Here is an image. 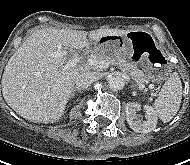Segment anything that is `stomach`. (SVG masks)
<instances>
[{
	"label": "stomach",
	"instance_id": "obj_1",
	"mask_svg": "<svg viewBox=\"0 0 190 165\" xmlns=\"http://www.w3.org/2000/svg\"><path fill=\"white\" fill-rule=\"evenodd\" d=\"M93 50L110 57L130 58L131 67L145 72L148 80L161 81L170 72V59L158 51L152 36L147 32L125 31L120 36L104 35L93 43Z\"/></svg>",
	"mask_w": 190,
	"mask_h": 165
}]
</instances>
